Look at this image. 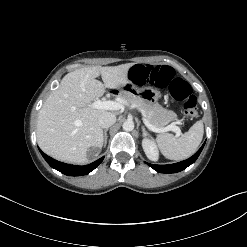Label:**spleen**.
<instances>
[{
    "label": "spleen",
    "mask_w": 247,
    "mask_h": 247,
    "mask_svg": "<svg viewBox=\"0 0 247 247\" xmlns=\"http://www.w3.org/2000/svg\"><path fill=\"white\" fill-rule=\"evenodd\" d=\"M203 122L197 121L188 132L176 138L171 134L157 137V144L161 153L170 160H183L194 154L203 138Z\"/></svg>",
    "instance_id": "spleen-1"
}]
</instances>
